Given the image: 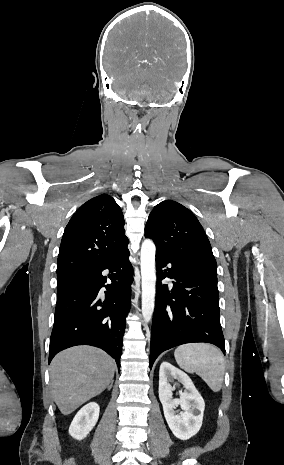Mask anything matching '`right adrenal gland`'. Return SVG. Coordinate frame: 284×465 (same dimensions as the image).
I'll return each instance as SVG.
<instances>
[{"label": "right adrenal gland", "instance_id": "obj_1", "mask_svg": "<svg viewBox=\"0 0 284 465\" xmlns=\"http://www.w3.org/2000/svg\"><path fill=\"white\" fill-rule=\"evenodd\" d=\"M113 383H114V381H111V385H110L109 389H112Z\"/></svg>", "mask_w": 284, "mask_h": 465}]
</instances>
